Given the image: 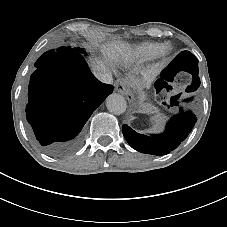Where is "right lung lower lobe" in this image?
Listing matches in <instances>:
<instances>
[{
    "instance_id": "obj_1",
    "label": "right lung lower lobe",
    "mask_w": 227,
    "mask_h": 227,
    "mask_svg": "<svg viewBox=\"0 0 227 227\" xmlns=\"http://www.w3.org/2000/svg\"><path fill=\"white\" fill-rule=\"evenodd\" d=\"M35 67L27 121L46 153L64 156L80 145L83 126L114 87L97 80L82 56L70 48L47 51Z\"/></svg>"
}]
</instances>
